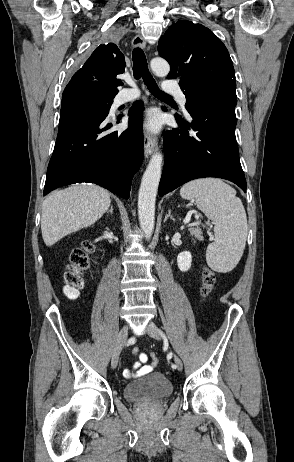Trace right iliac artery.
Returning <instances> with one entry per match:
<instances>
[{"mask_svg": "<svg viewBox=\"0 0 294 462\" xmlns=\"http://www.w3.org/2000/svg\"><path fill=\"white\" fill-rule=\"evenodd\" d=\"M135 342V339L134 338H131L129 341H128V345H131Z\"/></svg>", "mask_w": 294, "mask_h": 462, "instance_id": "1", "label": "right iliac artery"}]
</instances>
